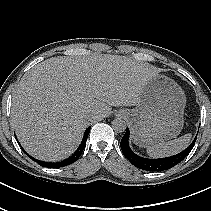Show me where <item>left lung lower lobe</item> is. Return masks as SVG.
<instances>
[{"label": "left lung lower lobe", "mask_w": 211, "mask_h": 211, "mask_svg": "<svg viewBox=\"0 0 211 211\" xmlns=\"http://www.w3.org/2000/svg\"><path fill=\"white\" fill-rule=\"evenodd\" d=\"M129 133V129L127 128L126 133L120 143L122 152L124 156L131 162V164H133L139 169L146 171H164L174 167L188 155V153L193 148L197 138L195 137L189 147H187L184 151L179 154L160 159H148L138 156L130 149L128 144Z\"/></svg>", "instance_id": "1"}]
</instances>
